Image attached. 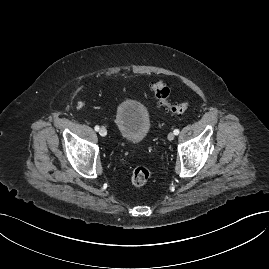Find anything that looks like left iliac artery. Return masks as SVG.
<instances>
[{"label":"left iliac artery","instance_id":"left-iliac-artery-1","mask_svg":"<svg viewBox=\"0 0 269 269\" xmlns=\"http://www.w3.org/2000/svg\"><path fill=\"white\" fill-rule=\"evenodd\" d=\"M173 132H174L175 135H178L179 134V130L178 129H175Z\"/></svg>","mask_w":269,"mask_h":269}]
</instances>
